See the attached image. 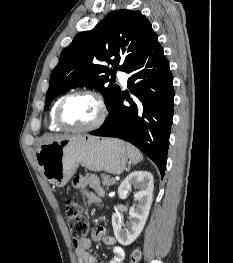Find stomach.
Masks as SVG:
<instances>
[{
	"instance_id": "obj_1",
	"label": "stomach",
	"mask_w": 233,
	"mask_h": 263,
	"mask_svg": "<svg viewBox=\"0 0 233 263\" xmlns=\"http://www.w3.org/2000/svg\"><path fill=\"white\" fill-rule=\"evenodd\" d=\"M35 154L44 177L56 187L65 186L80 164L91 171L120 174L129 158L122 140L88 135L42 144Z\"/></svg>"
}]
</instances>
